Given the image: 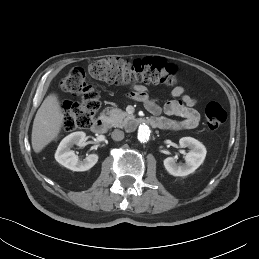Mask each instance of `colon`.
<instances>
[{
    "mask_svg": "<svg viewBox=\"0 0 259 259\" xmlns=\"http://www.w3.org/2000/svg\"><path fill=\"white\" fill-rule=\"evenodd\" d=\"M111 84H162L176 82L173 65L159 58H146L133 62L109 57L91 62L86 69L75 67L61 81V89L78 97V101L63 107V128L67 131L88 128L100 107L97 90L87 77ZM226 111L216 101L207 103L205 120L208 130H217L226 121Z\"/></svg>",
    "mask_w": 259,
    "mask_h": 259,
    "instance_id": "colon-1",
    "label": "colon"
}]
</instances>
